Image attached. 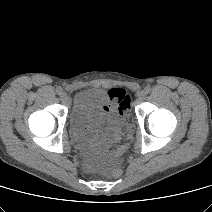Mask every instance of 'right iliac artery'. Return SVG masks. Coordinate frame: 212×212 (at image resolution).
<instances>
[{
    "mask_svg": "<svg viewBox=\"0 0 212 212\" xmlns=\"http://www.w3.org/2000/svg\"><path fill=\"white\" fill-rule=\"evenodd\" d=\"M61 92H62V88H61V87H57V88H56V93L60 95Z\"/></svg>",
    "mask_w": 212,
    "mask_h": 212,
    "instance_id": "obj_1",
    "label": "right iliac artery"
}]
</instances>
